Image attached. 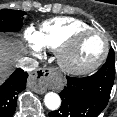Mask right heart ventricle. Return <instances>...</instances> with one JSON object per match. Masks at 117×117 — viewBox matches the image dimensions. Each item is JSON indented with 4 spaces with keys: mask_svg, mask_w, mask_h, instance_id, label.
Instances as JSON below:
<instances>
[{
    "mask_svg": "<svg viewBox=\"0 0 117 117\" xmlns=\"http://www.w3.org/2000/svg\"><path fill=\"white\" fill-rule=\"evenodd\" d=\"M92 28L82 20L72 17H57L45 21L36 31V38L43 48L58 50L75 32Z\"/></svg>",
    "mask_w": 117,
    "mask_h": 117,
    "instance_id": "obj_1",
    "label": "right heart ventricle"
}]
</instances>
